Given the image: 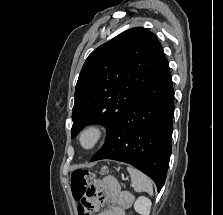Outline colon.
<instances>
[{
    "mask_svg": "<svg viewBox=\"0 0 223 215\" xmlns=\"http://www.w3.org/2000/svg\"><path fill=\"white\" fill-rule=\"evenodd\" d=\"M106 169H102V173H105ZM94 176L85 170H75L71 174V188L74 198L79 202V208L83 215H89L91 208L89 205L83 204V199L87 188L92 182Z\"/></svg>",
    "mask_w": 223,
    "mask_h": 215,
    "instance_id": "obj_1",
    "label": "colon"
}]
</instances>
